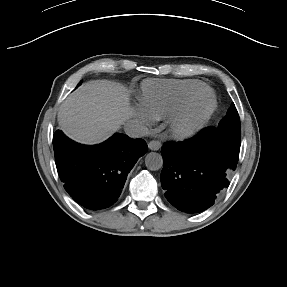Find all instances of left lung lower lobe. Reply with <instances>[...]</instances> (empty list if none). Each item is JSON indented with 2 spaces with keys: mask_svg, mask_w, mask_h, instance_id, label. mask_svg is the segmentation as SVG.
Returning a JSON list of instances; mask_svg holds the SVG:
<instances>
[{
  "mask_svg": "<svg viewBox=\"0 0 287 287\" xmlns=\"http://www.w3.org/2000/svg\"><path fill=\"white\" fill-rule=\"evenodd\" d=\"M240 138L207 127L189 140L162 146L161 184L167 200L187 213L212 206L229 185L239 158Z\"/></svg>",
  "mask_w": 287,
  "mask_h": 287,
  "instance_id": "1",
  "label": "left lung lower lobe"
}]
</instances>
